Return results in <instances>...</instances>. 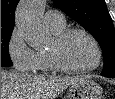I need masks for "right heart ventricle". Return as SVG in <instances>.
<instances>
[{
	"label": "right heart ventricle",
	"mask_w": 115,
	"mask_h": 99,
	"mask_svg": "<svg viewBox=\"0 0 115 99\" xmlns=\"http://www.w3.org/2000/svg\"><path fill=\"white\" fill-rule=\"evenodd\" d=\"M50 30L54 35H57L61 31L65 29V24L62 26H49ZM37 55V62H36V68L35 70L38 71H50L53 70L51 67L46 50H40L36 52Z\"/></svg>",
	"instance_id": "obj_1"
}]
</instances>
